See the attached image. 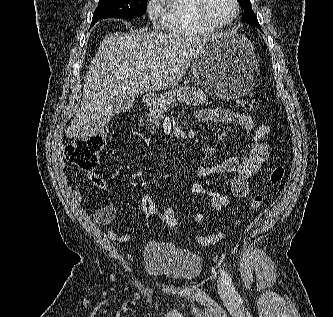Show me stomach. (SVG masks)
<instances>
[{
	"instance_id": "obj_1",
	"label": "stomach",
	"mask_w": 333,
	"mask_h": 317,
	"mask_svg": "<svg viewBox=\"0 0 333 317\" xmlns=\"http://www.w3.org/2000/svg\"><path fill=\"white\" fill-rule=\"evenodd\" d=\"M257 68L252 43L242 34L224 33L205 42L192 61L193 76L209 95L236 99L255 83Z\"/></svg>"
}]
</instances>
